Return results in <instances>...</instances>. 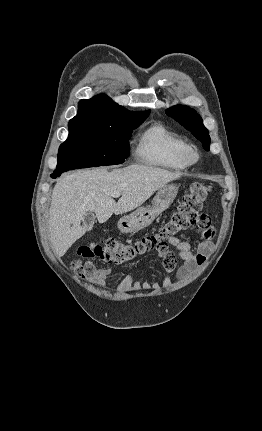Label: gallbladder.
<instances>
[{"label": "gallbladder", "instance_id": "obj_1", "mask_svg": "<svg viewBox=\"0 0 262 431\" xmlns=\"http://www.w3.org/2000/svg\"><path fill=\"white\" fill-rule=\"evenodd\" d=\"M95 215L91 212H88L83 217V224L87 228V230H91L93 228L94 222H95Z\"/></svg>", "mask_w": 262, "mask_h": 431}]
</instances>
